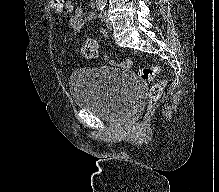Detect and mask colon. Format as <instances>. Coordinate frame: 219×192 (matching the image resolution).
Wrapping results in <instances>:
<instances>
[{"label":"colon","instance_id":"obj_1","mask_svg":"<svg viewBox=\"0 0 219 192\" xmlns=\"http://www.w3.org/2000/svg\"><path fill=\"white\" fill-rule=\"evenodd\" d=\"M81 55L87 59H95L99 56V47L97 40L88 39L79 49ZM113 63V61H111ZM121 66L127 67L130 65V61H124L120 63ZM160 72L158 66L143 67L138 70V76L143 81H152L155 79L157 74ZM167 87V81L162 80L155 83L149 93V105L154 106L159 99L162 97L165 89Z\"/></svg>","mask_w":219,"mask_h":192}]
</instances>
